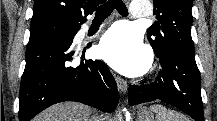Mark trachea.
Segmentation results:
<instances>
[{"mask_svg": "<svg viewBox=\"0 0 217 121\" xmlns=\"http://www.w3.org/2000/svg\"><path fill=\"white\" fill-rule=\"evenodd\" d=\"M116 9L123 16L128 15V9L122 0H109L97 8L95 19H105Z\"/></svg>", "mask_w": 217, "mask_h": 121, "instance_id": "obj_1", "label": "trachea"}]
</instances>
